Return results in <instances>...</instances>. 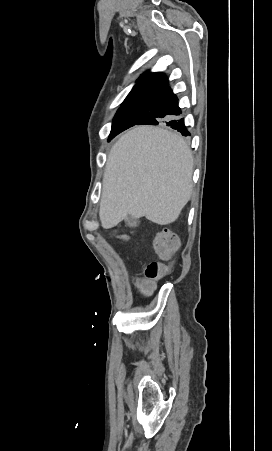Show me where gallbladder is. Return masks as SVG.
<instances>
[{
	"label": "gallbladder",
	"mask_w": 272,
	"mask_h": 451,
	"mask_svg": "<svg viewBox=\"0 0 272 451\" xmlns=\"http://www.w3.org/2000/svg\"><path fill=\"white\" fill-rule=\"evenodd\" d=\"M127 226L135 227L137 226V220H134V218H128V220H125Z\"/></svg>",
	"instance_id": "bac80fb5"
}]
</instances>
